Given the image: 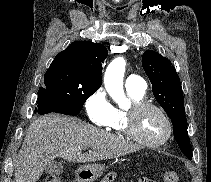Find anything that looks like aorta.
Segmentation results:
<instances>
[{
  "label": "aorta",
  "instance_id": "1",
  "mask_svg": "<svg viewBox=\"0 0 211 182\" xmlns=\"http://www.w3.org/2000/svg\"><path fill=\"white\" fill-rule=\"evenodd\" d=\"M125 65V60L118 57L108 65L104 75L106 91L119 106L128 102L123 88Z\"/></svg>",
  "mask_w": 211,
  "mask_h": 182
}]
</instances>
